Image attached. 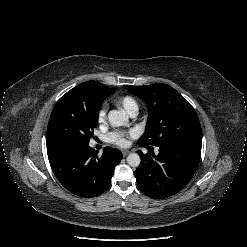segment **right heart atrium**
Listing matches in <instances>:
<instances>
[{
    "instance_id": "right-heart-atrium-1",
    "label": "right heart atrium",
    "mask_w": 247,
    "mask_h": 247,
    "mask_svg": "<svg viewBox=\"0 0 247 247\" xmlns=\"http://www.w3.org/2000/svg\"><path fill=\"white\" fill-rule=\"evenodd\" d=\"M105 116H106V108L104 105H102L97 110V119L99 121H102L104 120Z\"/></svg>"
}]
</instances>
